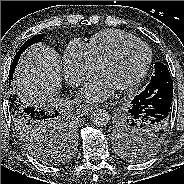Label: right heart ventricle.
I'll return each instance as SVG.
<instances>
[{
    "mask_svg": "<svg viewBox=\"0 0 184 184\" xmlns=\"http://www.w3.org/2000/svg\"><path fill=\"white\" fill-rule=\"evenodd\" d=\"M138 39L120 30H106L94 35L87 44L88 51L96 64H100L121 44Z\"/></svg>",
    "mask_w": 184,
    "mask_h": 184,
    "instance_id": "right-heart-ventricle-1",
    "label": "right heart ventricle"
}]
</instances>
